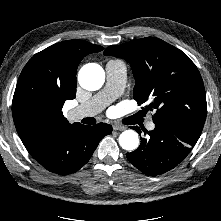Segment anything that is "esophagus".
I'll return each instance as SVG.
<instances>
[{"instance_id": "esophagus-1", "label": "esophagus", "mask_w": 221, "mask_h": 221, "mask_svg": "<svg viewBox=\"0 0 221 221\" xmlns=\"http://www.w3.org/2000/svg\"><path fill=\"white\" fill-rule=\"evenodd\" d=\"M125 129H126V127L122 126V125H118V124L113 125V130H115V131H123Z\"/></svg>"}]
</instances>
